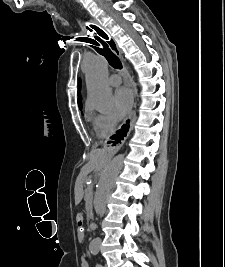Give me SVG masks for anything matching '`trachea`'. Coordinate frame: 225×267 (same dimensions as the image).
<instances>
[{"label":"trachea","mask_w":225,"mask_h":267,"mask_svg":"<svg viewBox=\"0 0 225 267\" xmlns=\"http://www.w3.org/2000/svg\"><path fill=\"white\" fill-rule=\"evenodd\" d=\"M90 27L92 29H94L98 35L104 39H108V36L106 35V33L101 30L99 27L95 26V25H90ZM87 29H89L87 27ZM92 29H89L90 31H92ZM99 36H94V39H90L88 41V43L91 44V46L101 55L105 56V58L107 59V61L109 62V64L115 68V69H121L122 68V64L120 59L110 50V48L108 47V45L99 37Z\"/></svg>","instance_id":"3493384b"}]
</instances>
